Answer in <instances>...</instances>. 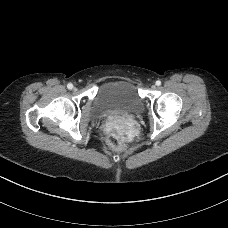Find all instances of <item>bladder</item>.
Returning a JSON list of instances; mask_svg holds the SVG:
<instances>
[{"instance_id":"obj_1","label":"bladder","mask_w":228,"mask_h":228,"mask_svg":"<svg viewBox=\"0 0 228 228\" xmlns=\"http://www.w3.org/2000/svg\"><path fill=\"white\" fill-rule=\"evenodd\" d=\"M142 106L135 85L128 80H116L105 83L99 89L93 104L95 115L108 113H134Z\"/></svg>"}]
</instances>
